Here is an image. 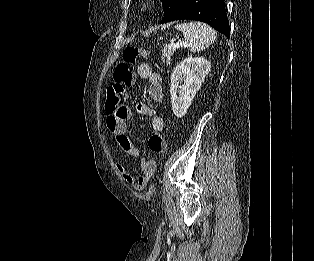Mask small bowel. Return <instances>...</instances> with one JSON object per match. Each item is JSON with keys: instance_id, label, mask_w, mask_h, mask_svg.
<instances>
[{"instance_id": "obj_1", "label": "small bowel", "mask_w": 314, "mask_h": 261, "mask_svg": "<svg viewBox=\"0 0 314 261\" xmlns=\"http://www.w3.org/2000/svg\"><path fill=\"white\" fill-rule=\"evenodd\" d=\"M137 73L141 78L148 80V95L151 100L161 102L164 97L161 75L154 71L147 63L139 64ZM137 109L151 118V126L154 132H161L163 130L164 120L157 116L152 108L146 104L140 103ZM108 113L106 125L110 133L114 136L119 149L140 159L141 173L139 175L132 174L128 168L121 163L116 164L117 171L134 190L142 191L155 174L157 163L152 158L142 157L139 149L128 135L127 123L132 117L130 108L124 104L117 106L113 110H108Z\"/></svg>"}]
</instances>
